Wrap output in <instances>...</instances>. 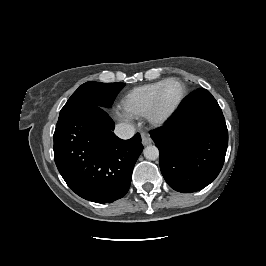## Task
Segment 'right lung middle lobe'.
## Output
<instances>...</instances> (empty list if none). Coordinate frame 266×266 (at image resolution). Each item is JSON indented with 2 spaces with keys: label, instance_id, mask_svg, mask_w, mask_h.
<instances>
[{
  "label": "right lung middle lobe",
  "instance_id": "1",
  "mask_svg": "<svg viewBox=\"0 0 266 266\" xmlns=\"http://www.w3.org/2000/svg\"><path fill=\"white\" fill-rule=\"evenodd\" d=\"M125 86L124 83H101L89 81L82 84L61 109L57 125L85 105H97L110 108L116 95Z\"/></svg>",
  "mask_w": 266,
  "mask_h": 266
}]
</instances>
